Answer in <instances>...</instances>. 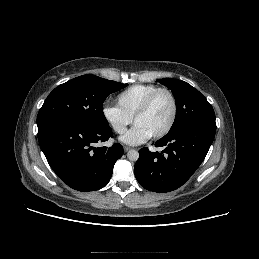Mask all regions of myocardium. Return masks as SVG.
<instances>
[{"mask_svg": "<svg viewBox=\"0 0 259 259\" xmlns=\"http://www.w3.org/2000/svg\"><path fill=\"white\" fill-rule=\"evenodd\" d=\"M161 93H166L170 97V99L172 101V115H171V118H170L168 124L161 131H159L156 134L151 136L154 139H158V138L165 136L172 129V127L175 124V121L177 118V113H178V103H177V99H176V96L174 95V93L168 88L157 89L144 100L142 105L139 107V109L136 111V113L133 116V122L135 123V121L139 117L143 116L144 114H146L148 112V110L150 109V107H151L152 103L154 102V100L156 99V97L158 95H160Z\"/></svg>", "mask_w": 259, "mask_h": 259, "instance_id": "myocardium-1", "label": "myocardium"}]
</instances>
